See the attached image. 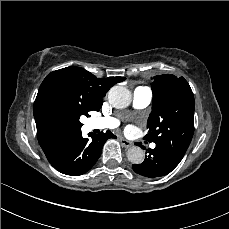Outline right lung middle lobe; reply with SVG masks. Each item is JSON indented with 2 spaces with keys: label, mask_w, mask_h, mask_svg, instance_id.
Returning <instances> with one entry per match:
<instances>
[{
  "label": "right lung middle lobe",
  "mask_w": 229,
  "mask_h": 229,
  "mask_svg": "<svg viewBox=\"0 0 229 229\" xmlns=\"http://www.w3.org/2000/svg\"><path fill=\"white\" fill-rule=\"evenodd\" d=\"M88 108L78 97L63 91L53 90L47 93L39 104V117L42 126L51 134L64 137L81 130L79 119L89 117Z\"/></svg>",
  "instance_id": "right-lung-middle-lobe-1"
}]
</instances>
